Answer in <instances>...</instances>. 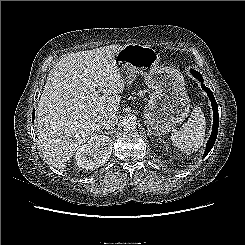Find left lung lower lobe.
Returning <instances> with one entry per match:
<instances>
[{
	"instance_id": "0a47b994",
	"label": "left lung lower lobe",
	"mask_w": 245,
	"mask_h": 245,
	"mask_svg": "<svg viewBox=\"0 0 245 245\" xmlns=\"http://www.w3.org/2000/svg\"><path fill=\"white\" fill-rule=\"evenodd\" d=\"M191 73L194 77H196L201 83H203V78L202 76L200 75V73H198L197 71L195 70H191ZM202 86V89L207 93L210 101H211V105H212V108H213V128H212V133H211V136L207 142V145H206V149H205V152L203 154V157L206 156L210 150L212 149L215 141H216V137H217V132H218V125H219V116H218V106H217V102L215 100V97L212 93V91L207 88L205 85L201 84Z\"/></svg>"
}]
</instances>
